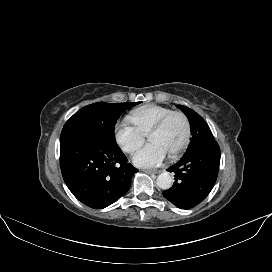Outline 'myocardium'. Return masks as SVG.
<instances>
[{
    "label": "myocardium",
    "instance_id": "obj_1",
    "mask_svg": "<svg viewBox=\"0 0 272 272\" xmlns=\"http://www.w3.org/2000/svg\"><path fill=\"white\" fill-rule=\"evenodd\" d=\"M175 117H179L184 121L185 124V134L180 142V144L168 154V157L174 158L178 156L188 145L190 138H191V123L188 118V116L180 111H173L167 115H165L163 118H161L155 125L152 126V128L149 130L148 134L153 132H159L165 128V126Z\"/></svg>",
    "mask_w": 272,
    "mask_h": 272
}]
</instances>
